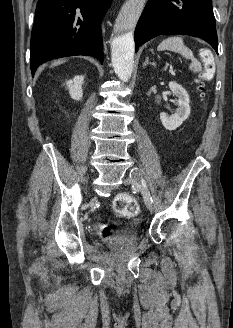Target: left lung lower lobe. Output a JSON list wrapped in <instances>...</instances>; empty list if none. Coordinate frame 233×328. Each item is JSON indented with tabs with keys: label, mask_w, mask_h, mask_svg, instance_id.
<instances>
[{
	"label": "left lung lower lobe",
	"mask_w": 233,
	"mask_h": 328,
	"mask_svg": "<svg viewBox=\"0 0 233 328\" xmlns=\"http://www.w3.org/2000/svg\"><path fill=\"white\" fill-rule=\"evenodd\" d=\"M167 33L202 38L218 52L212 0L149 1L135 29L136 51L142 43Z\"/></svg>",
	"instance_id": "obj_1"
}]
</instances>
